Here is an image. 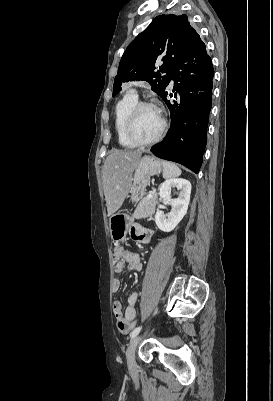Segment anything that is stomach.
I'll return each instance as SVG.
<instances>
[{
  "label": "stomach",
  "instance_id": "stomach-1",
  "mask_svg": "<svg viewBox=\"0 0 273 401\" xmlns=\"http://www.w3.org/2000/svg\"><path fill=\"white\" fill-rule=\"evenodd\" d=\"M162 170V162L155 156H142L140 158L135 172L132 176V184L130 186V198L132 203H138L140 198H144L146 194V186L149 182V176L159 174ZM134 219L125 213H116L109 219L110 235L112 241H124L128 233L130 225Z\"/></svg>",
  "mask_w": 273,
  "mask_h": 401
}]
</instances>
